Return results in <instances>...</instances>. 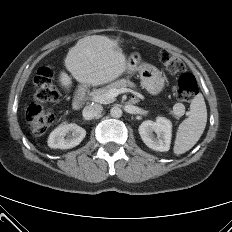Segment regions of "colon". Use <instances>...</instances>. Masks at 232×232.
<instances>
[{"label":"colon","mask_w":232,"mask_h":232,"mask_svg":"<svg viewBox=\"0 0 232 232\" xmlns=\"http://www.w3.org/2000/svg\"><path fill=\"white\" fill-rule=\"evenodd\" d=\"M162 68L169 74L183 72L178 79L176 95L181 101L193 100L198 92V84L193 74L184 72L183 60L168 50L159 53ZM59 100V93L51 80V73L41 69L35 77L34 101L27 109L26 119L31 132L35 136H42L53 124L54 115L46 106Z\"/></svg>","instance_id":"1"}]
</instances>
